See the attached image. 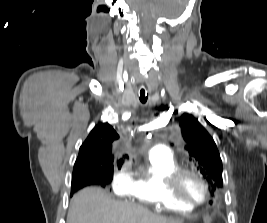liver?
Here are the masks:
<instances>
[{
    "instance_id": "1",
    "label": "liver",
    "mask_w": 267,
    "mask_h": 223,
    "mask_svg": "<svg viewBox=\"0 0 267 223\" xmlns=\"http://www.w3.org/2000/svg\"><path fill=\"white\" fill-rule=\"evenodd\" d=\"M67 223H182L147 208L112 199L101 188L79 191L71 200Z\"/></svg>"
}]
</instances>
